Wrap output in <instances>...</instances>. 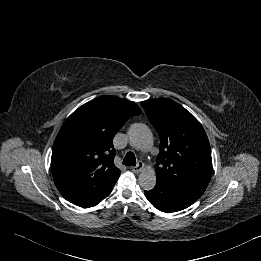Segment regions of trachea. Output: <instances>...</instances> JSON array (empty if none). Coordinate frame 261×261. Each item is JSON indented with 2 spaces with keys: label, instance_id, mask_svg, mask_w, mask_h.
<instances>
[{
  "label": "trachea",
  "instance_id": "3493384b",
  "mask_svg": "<svg viewBox=\"0 0 261 261\" xmlns=\"http://www.w3.org/2000/svg\"><path fill=\"white\" fill-rule=\"evenodd\" d=\"M123 164L126 166H136V157L133 152H128L124 157Z\"/></svg>",
  "mask_w": 261,
  "mask_h": 261
}]
</instances>
